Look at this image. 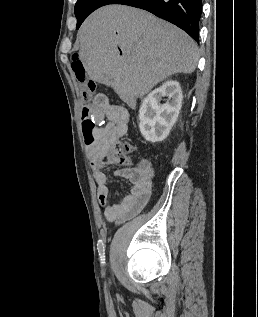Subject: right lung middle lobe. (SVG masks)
<instances>
[{
	"mask_svg": "<svg viewBox=\"0 0 258 317\" xmlns=\"http://www.w3.org/2000/svg\"><path fill=\"white\" fill-rule=\"evenodd\" d=\"M86 0H77L76 4H75V15H77V13L79 12V10L81 9L82 5L85 3Z\"/></svg>",
	"mask_w": 258,
	"mask_h": 317,
	"instance_id": "obj_1",
	"label": "right lung middle lobe"
}]
</instances>
